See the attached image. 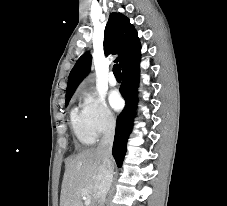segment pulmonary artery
I'll list each match as a JSON object with an SVG mask.
<instances>
[{"mask_svg": "<svg viewBox=\"0 0 227 206\" xmlns=\"http://www.w3.org/2000/svg\"><path fill=\"white\" fill-rule=\"evenodd\" d=\"M108 82H109V84H110L111 86L117 85V80H116V78H115V76H114L113 73H110V74H109Z\"/></svg>", "mask_w": 227, "mask_h": 206, "instance_id": "e3ab8cb5", "label": "pulmonary artery"}]
</instances>
